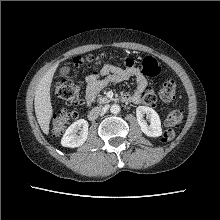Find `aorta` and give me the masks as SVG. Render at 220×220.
<instances>
[{
    "label": "aorta",
    "instance_id": "aorta-1",
    "mask_svg": "<svg viewBox=\"0 0 220 220\" xmlns=\"http://www.w3.org/2000/svg\"><path fill=\"white\" fill-rule=\"evenodd\" d=\"M121 108L119 105L117 104H113L111 107H110V112L112 114H118L120 112Z\"/></svg>",
    "mask_w": 220,
    "mask_h": 220
}]
</instances>
